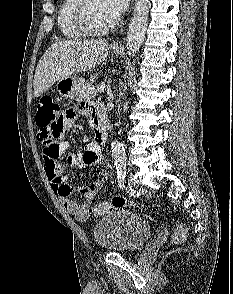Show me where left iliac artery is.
<instances>
[{"label":"left iliac artery","mask_w":233,"mask_h":294,"mask_svg":"<svg viewBox=\"0 0 233 294\" xmlns=\"http://www.w3.org/2000/svg\"><path fill=\"white\" fill-rule=\"evenodd\" d=\"M116 170H117V178H118L119 187L124 188L125 187V184H124L125 178H126V174H127L126 163L120 162V163L116 164Z\"/></svg>","instance_id":"44dca946"}]
</instances>
